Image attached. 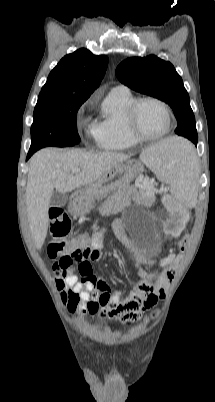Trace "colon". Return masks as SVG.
Listing matches in <instances>:
<instances>
[{"mask_svg":"<svg viewBox=\"0 0 215 402\" xmlns=\"http://www.w3.org/2000/svg\"><path fill=\"white\" fill-rule=\"evenodd\" d=\"M71 229V220L66 212L55 208L50 212V231L52 239L48 244V256L55 260V265L62 269L75 270V264L83 261L84 255L80 250H86L90 238L87 235H74L69 241L65 237ZM193 241L190 232H185L184 237L177 241L176 251L178 254H185L186 243ZM177 264L176 259L169 260L167 269L171 271ZM78 270L86 272L89 266L85 263L78 266Z\"/></svg>","mask_w":215,"mask_h":402,"instance_id":"obj_1","label":"colon"}]
</instances>
